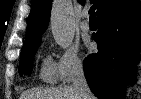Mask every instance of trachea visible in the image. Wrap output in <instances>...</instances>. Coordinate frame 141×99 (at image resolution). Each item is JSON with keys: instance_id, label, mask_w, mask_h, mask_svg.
Here are the masks:
<instances>
[{"instance_id": "3493384b", "label": "trachea", "mask_w": 141, "mask_h": 99, "mask_svg": "<svg viewBox=\"0 0 141 99\" xmlns=\"http://www.w3.org/2000/svg\"><path fill=\"white\" fill-rule=\"evenodd\" d=\"M95 10H96V5H92L89 10L90 20H97Z\"/></svg>"}]
</instances>
